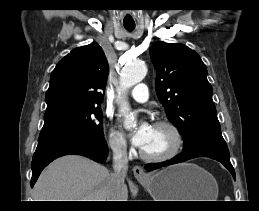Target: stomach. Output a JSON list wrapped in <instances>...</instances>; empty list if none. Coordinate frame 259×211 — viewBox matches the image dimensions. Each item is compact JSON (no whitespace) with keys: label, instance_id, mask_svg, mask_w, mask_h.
Returning a JSON list of instances; mask_svg holds the SVG:
<instances>
[{"label":"stomach","instance_id":"0dacf381","mask_svg":"<svg viewBox=\"0 0 259 211\" xmlns=\"http://www.w3.org/2000/svg\"><path fill=\"white\" fill-rule=\"evenodd\" d=\"M155 201H215L218 185L203 168L182 163L139 180Z\"/></svg>","mask_w":259,"mask_h":211}]
</instances>
